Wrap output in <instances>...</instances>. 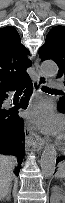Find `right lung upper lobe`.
Returning a JSON list of instances; mask_svg holds the SVG:
<instances>
[{"mask_svg":"<svg viewBox=\"0 0 65 203\" xmlns=\"http://www.w3.org/2000/svg\"><path fill=\"white\" fill-rule=\"evenodd\" d=\"M29 51L21 44L15 28H0V90L21 84L29 78Z\"/></svg>","mask_w":65,"mask_h":203,"instance_id":"right-lung-upper-lobe-1","label":"right lung upper lobe"}]
</instances>
